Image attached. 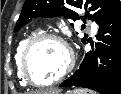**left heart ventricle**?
Here are the masks:
<instances>
[{
  "label": "left heart ventricle",
  "instance_id": "b2bd125f",
  "mask_svg": "<svg viewBox=\"0 0 121 94\" xmlns=\"http://www.w3.org/2000/svg\"><path fill=\"white\" fill-rule=\"evenodd\" d=\"M67 63L61 44L53 40L38 43L28 58L29 73L38 83H46L58 76Z\"/></svg>",
  "mask_w": 121,
  "mask_h": 94
}]
</instances>
